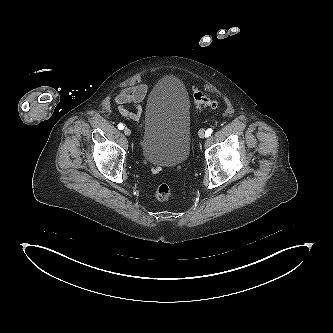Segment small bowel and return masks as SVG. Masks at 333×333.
<instances>
[{"label": "small bowel", "instance_id": "c3829d8e", "mask_svg": "<svg viewBox=\"0 0 333 333\" xmlns=\"http://www.w3.org/2000/svg\"><path fill=\"white\" fill-rule=\"evenodd\" d=\"M147 87L144 84H138L122 90L116 97L115 103L118 105L122 115L133 121H138L142 115V103L146 96ZM133 106V110L128 108Z\"/></svg>", "mask_w": 333, "mask_h": 333}]
</instances>
